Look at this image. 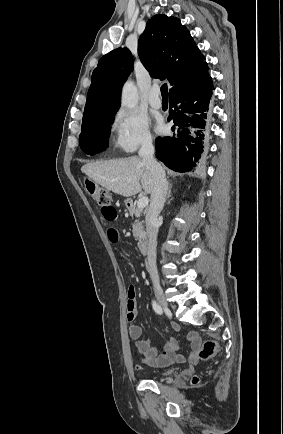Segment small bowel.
<instances>
[{"mask_svg":"<svg viewBox=\"0 0 283 434\" xmlns=\"http://www.w3.org/2000/svg\"><path fill=\"white\" fill-rule=\"evenodd\" d=\"M101 214L107 221H115L117 219V210L112 205L101 207ZM108 240L111 243H116L119 240V231L116 228H110L107 232ZM136 291L133 286H130L127 290V304L126 315L130 324L129 335L134 341V349L141 358V361L153 367H166L173 363H184L186 356L178 351V341L175 338H169L163 345L161 351L152 347L150 340L144 338L141 326L135 323L137 317V305H136ZM174 331H179V326L176 323L172 324ZM187 341L192 348L191 353L188 355V360L191 363H197L199 361L197 355V349L201 344L200 336L190 331L187 334Z\"/></svg>","mask_w":283,"mask_h":434,"instance_id":"c3829d8e","label":"small bowel"}]
</instances>
